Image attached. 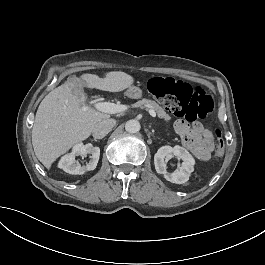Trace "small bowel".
Segmentation results:
<instances>
[{
    "mask_svg": "<svg viewBox=\"0 0 265 265\" xmlns=\"http://www.w3.org/2000/svg\"><path fill=\"white\" fill-rule=\"evenodd\" d=\"M174 129L183 145L200 161H208L214 143L213 132L201 123L189 124L183 119L174 123Z\"/></svg>",
    "mask_w": 265,
    "mask_h": 265,
    "instance_id": "obj_1",
    "label": "small bowel"
}]
</instances>
